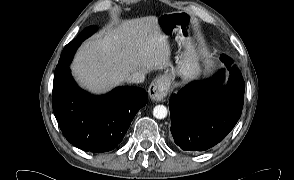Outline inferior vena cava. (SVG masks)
<instances>
[{"mask_svg":"<svg viewBox=\"0 0 294 180\" xmlns=\"http://www.w3.org/2000/svg\"><path fill=\"white\" fill-rule=\"evenodd\" d=\"M145 80V73L143 72H134L127 77V82L130 83H143Z\"/></svg>","mask_w":294,"mask_h":180,"instance_id":"602c4592","label":"inferior vena cava"}]
</instances>
